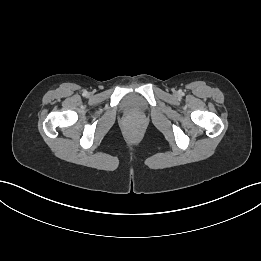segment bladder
<instances>
[{
  "mask_svg": "<svg viewBox=\"0 0 261 261\" xmlns=\"http://www.w3.org/2000/svg\"><path fill=\"white\" fill-rule=\"evenodd\" d=\"M123 107L128 113L138 114L144 110L145 104L140 96L132 94L124 99Z\"/></svg>",
  "mask_w": 261,
  "mask_h": 261,
  "instance_id": "31cf9c89",
  "label": "bladder"
}]
</instances>
